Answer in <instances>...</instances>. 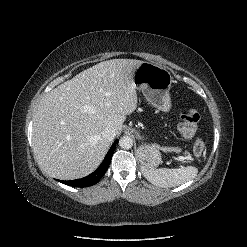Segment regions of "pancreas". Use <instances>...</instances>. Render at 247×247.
I'll return each instance as SVG.
<instances>
[{
  "label": "pancreas",
  "mask_w": 247,
  "mask_h": 247,
  "mask_svg": "<svg viewBox=\"0 0 247 247\" xmlns=\"http://www.w3.org/2000/svg\"><path fill=\"white\" fill-rule=\"evenodd\" d=\"M168 151H174V152H180L181 149L180 148H168Z\"/></svg>",
  "instance_id": "obj_1"
}]
</instances>
